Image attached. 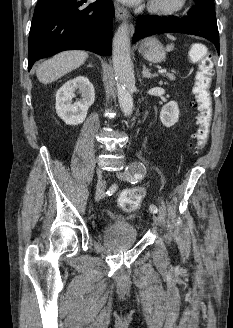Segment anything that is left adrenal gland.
I'll return each mask as SVG.
<instances>
[{
    "label": "left adrenal gland",
    "instance_id": "obj_1",
    "mask_svg": "<svg viewBox=\"0 0 233 328\" xmlns=\"http://www.w3.org/2000/svg\"><path fill=\"white\" fill-rule=\"evenodd\" d=\"M142 76H143L144 78H154V77H157V74H152V73L150 72V70L147 69L145 65H143Z\"/></svg>",
    "mask_w": 233,
    "mask_h": 328
}]
</instances>
